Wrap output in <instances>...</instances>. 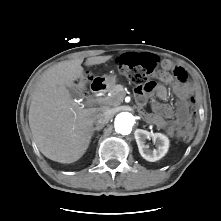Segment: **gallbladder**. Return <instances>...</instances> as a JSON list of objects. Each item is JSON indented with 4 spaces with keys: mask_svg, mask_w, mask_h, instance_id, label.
<instances>
[{
    "mask_svg": "<svg viewBox=\"0 0 221 221\" xmlns=\"http://www.w3.org/2000/svg\"><path fill=\"white\" fill-rule=\"evenodd\" d=\"M67 89H68V91L70 92V94H71L72 96H75V95H76L75 90H74L73 88L68 87Z\"/></svg>",
    "mask_w": 221,
    "mask_h": 221,
    "instance_id": "obj_1",
    "label": "gallbladder"
}]
</instances>
